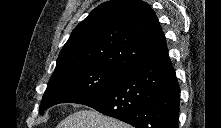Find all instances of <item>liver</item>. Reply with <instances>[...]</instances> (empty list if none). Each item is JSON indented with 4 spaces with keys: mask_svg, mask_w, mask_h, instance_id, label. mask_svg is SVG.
<instances>
[{
    "mask_svg": "<svg viewBox=\"0 0 221 128\" xmlns=\"http://www.w3.org/2000/svg\"><path fill=\"white\" fill-rule=\"evenodd\" d=\"M57 128H131V126L95 110H80L63 119Z\"/></svg>",
    "mask_w": 221,
    "mask_h": 128,
    "instance_id": "6515ba94",
    "label": "liver"
}]
</instances>
